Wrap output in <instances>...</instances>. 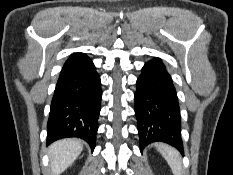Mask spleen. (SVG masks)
Listing matches in <instances>:
<instances>
[{"mask_svg":"<svg viewBox=\"0 0 233 175\" xmlns=\"http://www.w3.org/2000/svg\"><path fill=\"white\" fill-rule=\"evenodd\" d=\"M157 150L162 154V156L167 161L174 175H182V163L179 152L166 145V144H156Z\"/></svg>","mask_w":233,"mask_h":175,"instance_id":"1","label":"spleen"}]
</instances>
